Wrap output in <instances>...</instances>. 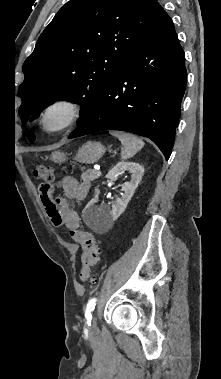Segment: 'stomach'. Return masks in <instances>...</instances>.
Here are the masks:
<instances>
[{"mask_svg":"<svg viewBox=\"0 0 221 379\" xmlns=\"http://www.w3.org/2000/svg\"><path fill=\"white\" fill-rule=\"evenodd\" d=\"M105 151V146L100 142L88 141L79 148L75 159L81 163L93 164L104 155ZM51 159L56 163H61L65 160V154L61 151H55L52 153Z\"/></svg>","mask_w":221,"mask_h":379,"instance_id":"obj_1","label":"stomach"}]
</instances>
